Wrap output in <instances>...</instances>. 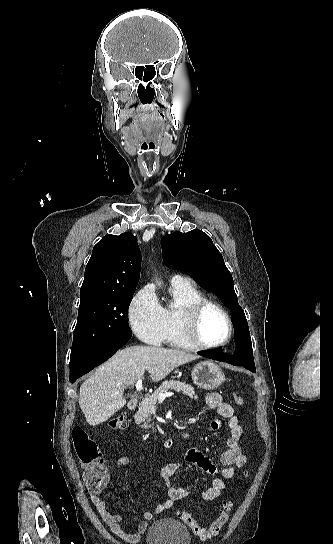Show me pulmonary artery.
I'll list each match as a JSON object with an SVG mask.
<instances>
[{"instance_id":"pulmonary-artery-1","label":"pulmonary artery","mask_w":333,"mask_h":544,"mask_svg":"<svg viewBox=\"0 0 333 544\" xmlns=\"http://www.w3.org/2000/svg\"><path fill=\"white\" fill-rule=\"evenodd\" d=\"M171 284L172 285H188V284H191V281L189 278L184 277L182 275H174L171 278Z\"/></svg>"}]
</instances>
